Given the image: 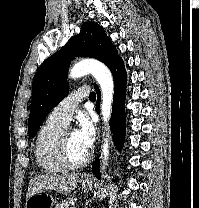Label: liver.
Segmentation results:
<instances>
[{
	"mask_svg": "<svg viewBox=\"0 0 199 208\" xmlns=\"http://www.w3.org/2000/svg\"><path fill=\"white\" fill-rule=\"evenodd\" d=\"M79 181L80 177L78 174L39 175L30 180L26 193V200L38 192H70L76 187Z\"/></svg>",
	"mask_w": 199,
	"mask_h": 208,
	"instance_id": "6515ba94",
	"label": "liver"
}]
</instances>
